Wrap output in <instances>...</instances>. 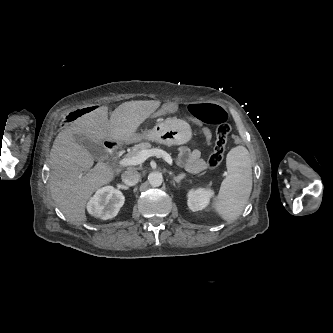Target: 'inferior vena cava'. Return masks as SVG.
Masks as SVG:
<instances>
[{"label":"inferior vena cava","instance_id":"1","mask_svg":"<svg viewBox=\"0 0 333 333\" xmlns=\"http://www.w3.org/2000/svg\"><path fill=\"white\" fill-rule=\"evenodd\" d=\"M139 179H140V174L134 168H130L122 174V181L124 184L128 186H133L137 184L139 182Z\"/></svg>","mask_w":333,"mask_h":333}]
</instances>
